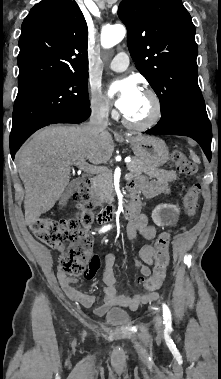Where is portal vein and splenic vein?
Wrapping results in <instances>:
<instances>
[{
    "mask_svg": "<svg viewBox=\"0 0 221 379\" xmlns=\"http://www.w3.org/2000/svg\"><path fill=\"white\" fill-rule=\"evenodd\" d=\"M76 165L78 166V168L90 174H101L104 172V169L99 168L97 166L90 165L86 162H78ZM129 175L130 173L126 174V177H129Z\"/></svg>",
    "mask_w": 221,
    "mask_h": 379,
    "instance_id": "portal-vein-and-splenic-vein-1",
    "label": "portal vein and splenic vein"
}]
</instances>
